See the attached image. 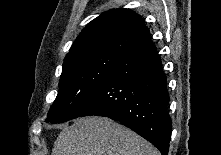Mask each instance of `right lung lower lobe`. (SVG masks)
<instances>
[{"instance_id":"obj_1","label":"right lung lower lobe","mask_w":221,"mask_h":155,"mask_svg":"<svg viewBox=\"0 0 221 155\" xmlns=\"http://www.w3.org/2000/svg\"><path fill=\"white\" fill-rule=\"evenodd\" d=\"M168 103L161 60L148 39L113 68L80 116L119 121L168 155L172 125Z\"/></svg>"}]
</instances>
